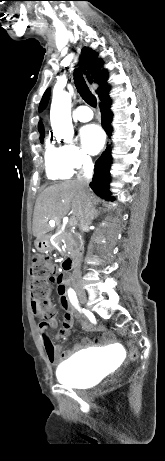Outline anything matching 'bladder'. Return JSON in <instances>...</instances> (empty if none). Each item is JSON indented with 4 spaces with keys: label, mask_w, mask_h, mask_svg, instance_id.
<instances>
[{
    "label": "bladder",
    "mask_w": 165,
    "mask_h": 461,
    "mask_svg": "<svg viewBox=\"0 0 165 461\" xmlns=\"http://www.w3.org/2000/svg\"><path fill=\"white\" fill-rule=\"evenodd\" d=\"M106 358L99 360L94 354L81 352L63 361L56 370L59 382L75 387L85 388L93 385L98 375L105 370Z\"/></svg>",
    "instance_id": "bladder-1"
}]
</instances>
